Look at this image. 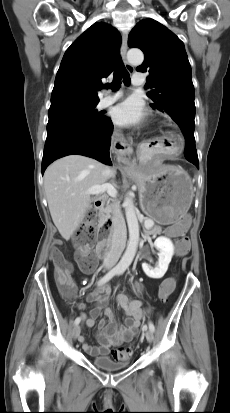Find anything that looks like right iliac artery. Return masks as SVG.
<instances>
[{
	"label": "right iliac artery",
	"mask_w": 230,
	"mask_h": 413,
	"mask_svg": "<svg viewBox=\"0 0 230 413\" xmlns=\"http://www.w3.org/2000/svg\"><path fill=\"white\" fill-rule=\"evenodd\" d=\"M119 271L117 269H112L111 271H109L104 277H102L99 281H98V285H102L106 282H108L113 276H115ZM81 321L80 317H77L74 321L75 325H78Z\"/></svg>",
	"instance_id": "obj_1"
}]
</instances>
